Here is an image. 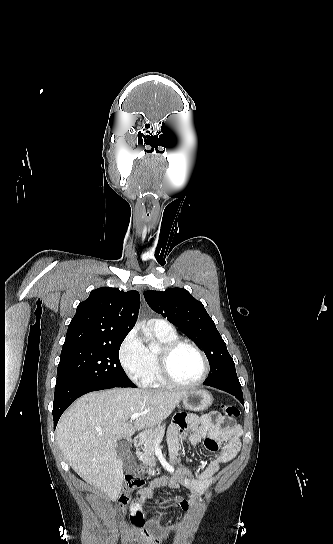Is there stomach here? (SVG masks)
I'll use <instances>...</instances> for the list:
<instances>
[{
	"mask_svg": "<svg viewBox=\"0 0 333 544\" xmlns=\"http://www.w3.org/2000/svg\"><path fill=\"white\" fill-rule=\"evenodd\" d=\"M212 402L211 394L205 390H192L182 398L184 408L193 412L206 410L211 406Z\"/></svg>",
	"mask_w": 333,
	"mask_h": 544,
	"instance_id": "obj_1",
	"label": "stomach"
}]
</instances>
